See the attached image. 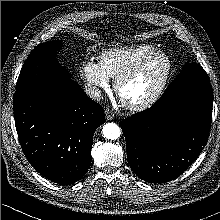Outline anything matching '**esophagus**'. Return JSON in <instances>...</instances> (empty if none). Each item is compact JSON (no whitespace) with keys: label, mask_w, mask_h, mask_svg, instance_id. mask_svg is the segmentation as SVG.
<instances>
[{"label":"esophagus","mask_w":220,"mask_h":220,"mask_svg":"<svg viewBox=\"0 0 220 220\" xmlns=\"http://www.w3.org/2000/svg\"><path fill=\"white\" fill-rule=\"evenodd\" d=\"M105 117H106L107 120H112V119L115 118V115L110 109L106 108Z\"/></svg>","instance_id":"1"}]
</instances>
